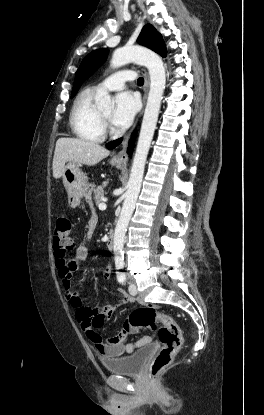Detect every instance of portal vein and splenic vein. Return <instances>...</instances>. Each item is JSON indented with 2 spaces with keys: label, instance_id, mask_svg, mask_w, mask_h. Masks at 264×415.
<instances>
[{
  "label": "portal vein and splenic vein",
  "instance_id": "18ae733b",
  "mask_svg": "<svg viewBox=\"0 0 264 415\" xmlns=\"http://www.w3.org/2000/svg\"><path fill=\"white\" fill-rule=\"evenodd\" d=\"M98 207H99L100 210H106V208H107V206L104 202H101Z\"/></svg>",
  "mask_w": 264,
  "mask_h": 415
}]
</instances>
